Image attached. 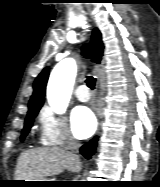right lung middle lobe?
Masks as SVG:
<instances>
[{
  "label": "right lung middle lobe",
  "mask_w": 160,
  "mask_h": 187,
  "mask_svg": "<svg viewBox=\"0 0 160 187\" xmlns=\"http://www.w3.org/2000/svg\"><path fill=\"white\" fill-rule=\"evenodd\" d=\"M38 111L39 110H34L31 112H28L27 118L25 120L24 128L22 130L21 140H23L24 137L28 134V132L32 126V123L34 121V118L36 117Z\"/></svg>",
  "instance_id": "right-lung-middle-lobe-1"
}]
</instances>
